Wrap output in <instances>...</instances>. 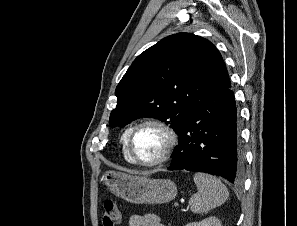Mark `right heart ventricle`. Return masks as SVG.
<instances>
[{
    "mask_svg": "<svg viewBox=\"0 0 297 226\" xmlns=\"http://www.w3.org/2000/svg\"><path fill=\"white\" fill-rule=\"evenodd\" d=\"M129 130L130 128H127L123 134H122V137H121V141H122V151H123V157L126 161L130 162V163H133L131 158L129 157L128 155V152H127V149H126V139H127V136H128V133H129Z\"/></svg>",
    "mask_w": 297,
    "mask_h": 226,
    "instance_id": "obj_1",
    "label": "right heart ventricle"
}]
</instances>
